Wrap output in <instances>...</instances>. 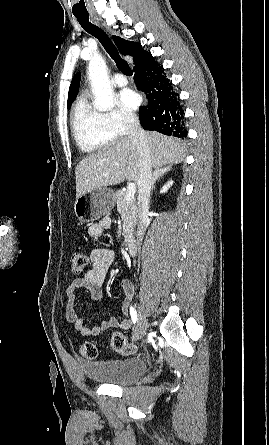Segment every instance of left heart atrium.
Segmentation results:
<instances>
[{"label":"left heart atrium","instance_id":"1","mask_svg":"<svg viewBox=\"0 0 269 445\" xmlns=\"http://www.w3.org/2000/svg\"><path fill=\"white\" fill-rule=\"evenodd\" d=\"M120 101L125 108L134 110L138 107L140 98L134 91L126 89L120 93Z\"/></svg>","mask_w":269,"mask_h":445}]
</instances>
